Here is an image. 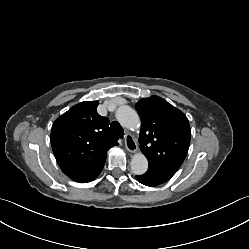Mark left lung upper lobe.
Returning <instances> with one entry per match:
<instances>
[{
  "label": "left lung upper lobe",
  "mask_w": 249,
  "mask_h": 249,
  "mask_svg": "<svg viewBox=\"0 0 249 249\" xmlns=\"http://www.w3.org/2000/svg\"><path fill=\"white\" fill-rule=\"evenodd\" d=\"M135 107L141 118L140 149L149 168L173 176L189 149L191 129L187 117L158 96L143 98Z\"/></svg>",
  "instance_id": "1"
}]
</instances>
